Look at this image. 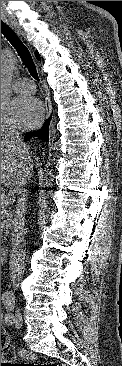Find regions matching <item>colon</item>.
Returning <instances> with one entry per match:
<instances>
[{"label":"colon","instance_id":"1","mask_svg":"<svg viewBox=\"0 0 122 366\" xmlns=\"http://www.w3.org/2000/svg\"><path fill=\"white\" fill-rule=\"evenodd\" d=\"M1 356L12 360L15 358V353L12 349V347L9 344L8 337L4 331V329L1 328ZM21 366H32V364H23ZM55 366V365H50Z\"/></svg>","mask_w":122,"mask_h":366}]
</instances>
